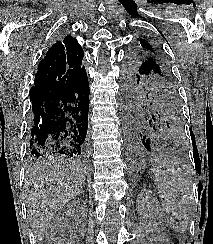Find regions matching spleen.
<instances>
[{"instance_id": "obj_1", "label": "spleen", "mask_w": 213, "mask_h": 244, "mask_svg": "<svg viewBox=\"0 0 213 244\" xmlns=\"http://www.w3.org/2000/svg\"><path fill=\"white\" fill-rule=\"evenodd\" d=\"M164 219L176 233L188 226L194 203L192 183L180 163L170 157H159L153 167Z\"/></svg>"}]
</instances>
